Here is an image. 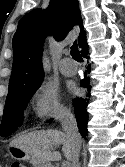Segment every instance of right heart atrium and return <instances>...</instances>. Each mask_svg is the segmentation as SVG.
Here are the masks:
<instances>
[{"mask_svg":"<svg viewBox=\"0 0 125 167\" xmlns=\"http://www.w3.org/2000/svg\"><path fill=\"white\" fill-rule=\"evenodd\" d=\"M31 105L36 120L42 123L60 120L69 114L61 93L49 81L43 82L34 92Z\"/></svg>","mask_w":125,"mask_h":167,"instance_id":"right-heart-atrium-1","label":"right heart atrium"}]
</instances>
